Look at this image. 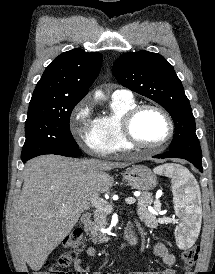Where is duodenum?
<instances>
[{
    "mask_svg": "<svg viewBox=\"0 0 215 274\" xmlns=\"http://www.w3.org/2000/svg\"><path fill=\"white\" fill-rule=\"evenodd\" d=\"M90 218H91V214L86 212L84 214H82L81 216V223L83 225H86L89 223L90 221ZM135 238H136V235H135V232L133 230H130L128 233H127V236H126V241H127V244L128 245H132L135 241Z\"/></svg>",
    "mask_w": 215,
    "mask_h": 274,
    "instance_id": "410a0bca",
    "label": "duodenum"
}]
</instances>
